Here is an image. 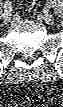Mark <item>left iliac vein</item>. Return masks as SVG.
Wrapping results in <instances>:
<instances>
[{
  "label": "left iliac vein",
  "mask_w": 63,
  "mask_h": 107,
  "mask_svg": "<svg viewBox=\"0 0 63 107\" xmlns=\"http://www.w3.org/2000/svg\"><path fill=\"white\" fill-rule=\"evenodd\" d=\"M42 19L44 20V22L48 25H52L54 24V17L52 14L50 13H45L43 16H42Z\"/></svg>",
  "instance_id": "obj_1"
}]
</instances>
